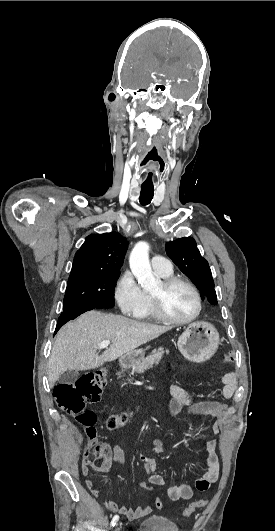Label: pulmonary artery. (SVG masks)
<instances>
[{
  "label": "pulmonary artery",
  "instance_id": "e3ab8cb5",
  "mask_svg": "<svg viewBox=\"0 0 275 531\" xmlns=\"http://www.w3.org/2000/svg\"><path fill=\"white\" fill-rule=\"evenodd\" d=\"M153 270L161 274H168L172 272L171 264L169 261H164L162 255L157 254L153 256Z\"/></svg>",
  "mask_w": 275,
  "mask_h": 531
}]
</instances>
